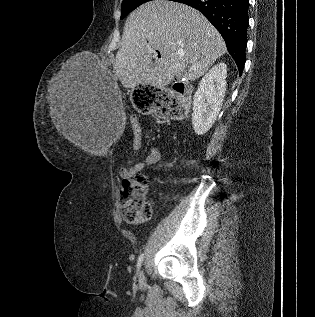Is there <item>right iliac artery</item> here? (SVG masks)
I'll list each match as a JSON object with an SVG mask.
<instances>
[{
  "mask_svg": "<svg viewBox=\"0 0 315 317\" xmlns=\"http://www.w3.org/2000/svg\"><path fill=\"white\" fill-rule=\"evenodd\" d=\"M143 260H144V255L141 254L139 257H138V260H137V272H139L140 268H141V265L143 263Z\"/></svg>",
  "mask_w": 315,
  "mask_h": 317,
  "instance_id": "82829eb1",
  "label": "right iliac artery"
}]
</instances>
